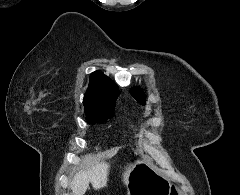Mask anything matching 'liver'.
Instances as JSON below:
<instances>
[{
  "instance_id": "liver-1",
  "label": "liver",
  "mask_w": 240,
  "mask_h": 195,
  "mask_svg": "<svg viewBox=\"0 0 240 195\" xmlns=\"http://www.w3.org/2000/svg\"><path fill=\"white\" fill-rule=\"evenodd\" d=\"M109 163L107 161H97L96 165H92L90 169H80L75 173L71 181V189L73 195H83L89 183H92L93 189H101L105 187L109 175ZM130 167H126L123 173V181L126 183Z\"/></svg>"
}]
</instances>
